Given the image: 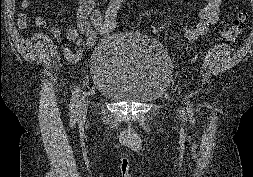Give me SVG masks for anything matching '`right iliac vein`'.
Listing matches in <instances>:
<instances>
[{
    "instance_id": "obj_1",
    "label": "right iliac vein",
    "mask_w": 253,
    "mask_h": 177,
    "mask_svg": "<svg viewBox=\"0 0 253 177\" xmlns=\"http://www.w3.org/2000/svg\"><path fill=\"white\" fill-rule=\"evenodd\" d=\"M87 110V104H86V97H83L80 102H79V106H78V114L79 116H83L85 114Z\"/></svg>"
}]
</instances>
